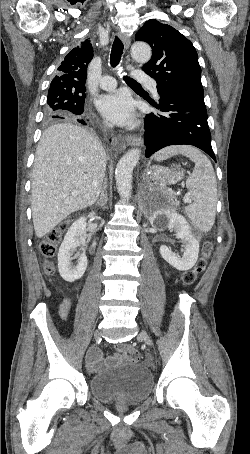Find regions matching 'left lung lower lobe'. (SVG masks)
Returning <instances> with one entry per match:
<instances>
[{"label":"left lung lower lobe","mask_w":250,"mask_h":454,"mask_svg":"<svg viewBox=\"0 0 250 454\" xmlns=\"http://www.w3.org/2000/svg\"><path fill=\"white\" fill-rule=\"evenodd\" d=\"M160 104L153 105L160 113L145 118V156L170 145H193L205 151L215 161L207 123L204 95L159 93Z\"/></svg>","instance_id":"obj_1"}]
</instances>
